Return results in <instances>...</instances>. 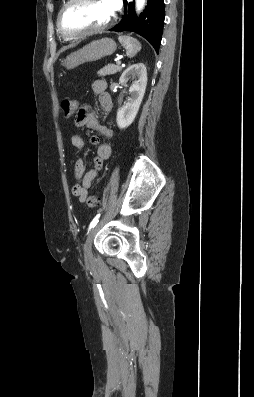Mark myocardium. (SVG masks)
<instances>
[{
    "mask_svg": "<svg viewBox=\"0 0 254 397\" xmlns=\"http://www.w3.org/2000/svg\"><path fill=\"white\" fill-rule=\"evenodd\" d=\"M77 0H67V2L63 5V7L61 8L58 17H57V29L59 31V33L67 39H76V38H81L84 36H88V35H93V34H97V33H101L103 31H105L106 29L110 28L115 20H116V16L114 13H112V16L110 17V19L103 25L96 27V28H91V29H87V30H83V31H79V32H68L67 30L64 29L63 24H62V19H63V15L65 13V11Z\"/></svg>",
    "mask_w": 254,
    "mask_h": 397,
    "instance_id": "f54148a6",
    "label": "myocardium"
}]
</instances>
